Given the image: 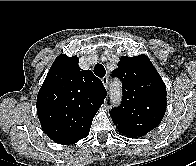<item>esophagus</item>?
I'll return each instance as SVG.
<instances>
[{"instance_id": "1", "label": "esophagus", "mask_w": 196, "mask_h": 166, "mask_svg": "<svg viewBox=\"0 0 196 166\" xmlns=\"http://www.w3.org/2000/svg\"><path fill=\"white\" fill-rule=\"evenodd\" d=\"M102 83L104 85V87L107 89L108 88V84H109V79L107 76L102 78Z\"/></svg>"}]
</instances>
